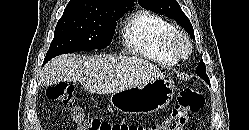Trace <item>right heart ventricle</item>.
<instances>
[{"label":"right heart ventricle","mask_w":249,"mask_h":130,"mask_svg":"<svg viewBox=\"0 0 249 130\" xmlns=\"http://www.w3.org/2000/svg\"><path fill=\"white\" fill-rule=\"evenodd\" d=\"M176 31L163 17L149 11L131 16L122 29V41L132 52L162 65H175L177 60L167 50V41Z\"/></svg>","instance_id":"obj_1"}]
</instances>
